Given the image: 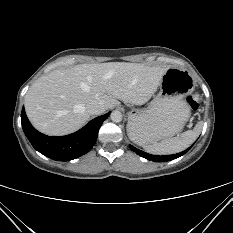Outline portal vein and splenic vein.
Here are the masks:
<instances>
[{"mask_svg": "<svg viewBox=\"0 0 233 233\" xmlns=\"http://www.w3.org/2000/svg\"><path fill=\"white\" fill-rule=\"evenodd\" d=\"M109 77H110L109 75H106V76H105V79H107V78H109Z\"/></svg>", "mask_w": 233, "mask_h": 233, "instance_id": "obj_1", "label": "portal vein and splenic vein"}]
</instances>
